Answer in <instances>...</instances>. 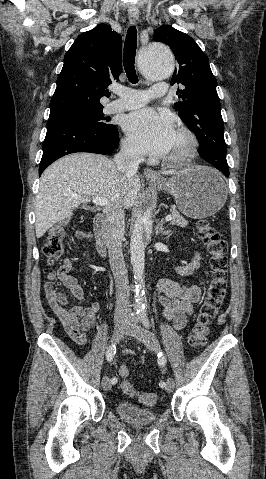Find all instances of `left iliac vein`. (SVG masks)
<instances>
[{
    "label": "left iliac vein",
    "mask_w": 266,
    "mask_h": 479,
    "mask_svg": "<svg viewBox=\"0 0 266 479\" xmlns=\"http://www.w3.org/2000/svg\"><path fill=\"white\" fill-rule=\"evenodd\" d=\"M126 334L132 335L139 341H141L148 350L151 352H159L160 346L159 342L156 339V337L149 332L148 330L144 329L141 326L136 325L135 323L128 322L127 328H126ZM175 386L174 380L169 377L166 381V386L165 390L166 392L170 393L173 391Z\"/></svg>",
    "instance_id": "4c4485c4"
}]
</instances>
